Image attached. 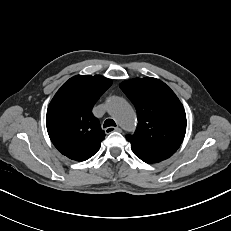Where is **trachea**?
<instances>
[{"mask_svg":"<svg viewBox=\"0 0 231 231\" xmlns=\"http://www.w3.org/2000/svg\"><path fill=\"white\" fill-rule=\"evenodd\" d=\"M115 126H116V123H115L114 120H112V119H107V120L104 122V125H103L104 128H107V127H115Z\"/></svg>","mask_w":231,"mask_h":231,"instance_id":"obj_1","label":"trachea"}]
</instances>
